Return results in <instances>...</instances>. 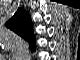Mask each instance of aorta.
Listing matches in <instances>:
<instances>
[{
	"label": "aorta",
	"mask_w": 80,
	"mask_h": 60,
	"mask_svg": "<svg viewBox=\"0 0 80 60\" xmlns=\"http://www.w3.org/2000/svg\"><path fill=\"white\" fill-rule=\"evenodd\" d=\"M3 37L6 38L5 45L12 49L14 53H19L27 50V44L25 41L14 34L5 33Z\"/></svg>",
	"instance_id": "762f6f07"
}]
</instances>
